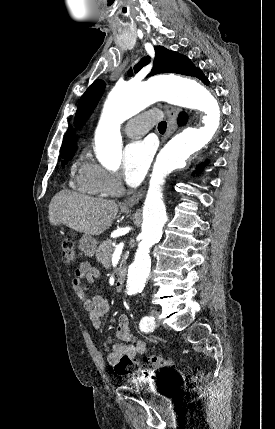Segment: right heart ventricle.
<instances>
[{"instance_id": "e07e8e85", "label": "right heart ventricle", "mask_w": 275, "mask_h": 429, "mask_svg": "<svg viewBox=\"0 0 275 429\" xmlns=\"http://www.w3.org/2000/svg\"><path fill=\"white\" fill-rule=\"evenodd\" d=\"M96 165L91 162H83L80 167L76 170L73 177V186L86 194L94 196H106L107 194L103 191L97 182L95 174Z\"/></svg>"}]
</instances>
